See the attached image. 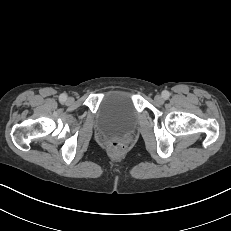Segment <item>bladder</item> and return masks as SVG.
I'll return each mask as SVG.
<instances>
[{"instance_id":"obj_1","label":"bladder","mask_w":231,"mask_h":231,"mask_svg":"<svg viewBox=\"0 0 231 231\" xmlns=\"http://www.w3.org/2000/svg\"><path fill=\"white\" fill-rule=\"evenodd\" d=\"M138 112L131 92L113 90L101 100L95 113V125L106 136L122 135L136 124Z\"/></svg>"}]
</instances>
